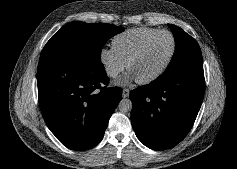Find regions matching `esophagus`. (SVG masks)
Here are the masks:
<instances>
[{
  "instance_id": "34e87169",
  "label": "esophagus",
  "mask_w": 237,
  "mask_h": 169,
  "mask_svg": "<svg viewBox=\"0 0 237 169\" xmlns=\"http://www.w3.org/2000/svg\"><path fill=\"white\" fill-rule=\"evenodd\" d=\"M129 94H130V90H129L128 88L123 89V91H122V96H123L124 98L128 97Z\"/></svg>"
}]
</instances>
